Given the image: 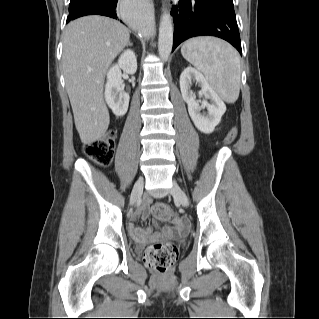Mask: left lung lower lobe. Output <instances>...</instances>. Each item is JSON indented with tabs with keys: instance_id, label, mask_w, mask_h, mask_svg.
I'll return each instance as SVG.
<instances>
[{
	"instance_id": "1",
	"label": "left lung lower lobe",
	"mask_w": 319,
	"mask_h": 319,
	"mask_svg": "<svg viewBox=\"0 0 319 319\" xmlns=\"http://www.w3.org/2000/svg\"><path fill=\"white\" fill-rule=\"evenodd\" d=\"M171 15L174 21L173 50L191 37L209 35L228 41L242 55L233 7L214 0H180L172 6Z\"/></svg>"
}]
</instances>
